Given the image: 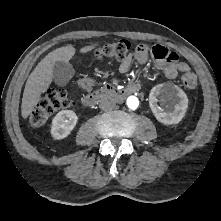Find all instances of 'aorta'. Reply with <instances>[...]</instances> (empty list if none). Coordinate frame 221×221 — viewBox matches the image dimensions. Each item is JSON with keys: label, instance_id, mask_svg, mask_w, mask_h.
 Instances as JSON below:
<instances>
[{"label": "aorta", "instance_id": "obj_1", "mask_svg": "<svg viewBox=\"0 0 221 221\" xmlns=\"http://www.w3.org/2000/svg\"><path fill=\"white\" fill-rule=\"evenodd\" d=\"M128 108L135 110L139 106V100L135 96H129L126 100Z\"/></svg>", "mask_w": 221, "mask_h": 221}]
</instances>
